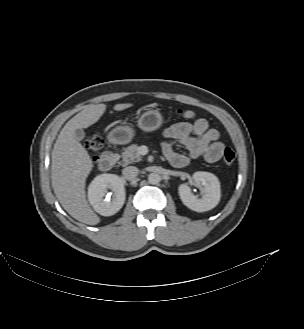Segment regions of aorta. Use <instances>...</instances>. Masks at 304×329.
Segmentation results:
<instances>
[{
	"label": "aorta",
	"mask_w": 304,
	"mask_h": 329,
	"mask_svg": "<svg viewBox=\"0 0 304 329\" xmlns=\"http://www.w3.org/2000/svg\"><path fill=\"white\" fill-rule=\"evenodd\" d=\"M160 180V175H158L157 173H150L148 175V182L152 185L158 184Z\"/></svg>",
	"instance_id": "aorta-1"
}]
</instances>
